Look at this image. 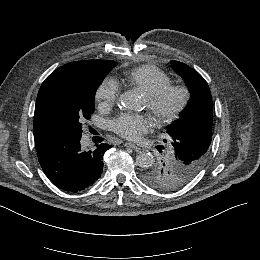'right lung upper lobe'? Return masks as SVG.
I'll return each mask as SVG.
<instances>
[{
  "label": "right lung upper lobe",
  "mask_w": 260,
  "mask_h": 260,
  "mask_svg": "<svg viewBox=\"0 0 260 260\" xmlns=\"http://www.w3.org/2000/svg\"><path fill=\"white\" fill-rule=\"evenodd\" d=\"M117 65L112 60H83L77 62L68 63L54 72H52L43 82L39 90L34 117V139L37 148V152L44 149L53 140L46 135L41 129L42 111L46 96L50 92L51 88L59 82L77 77L86 72H94L99 70L110 71Z\"/></svg>",
  "instance_id": "1"
}]
</instances>
